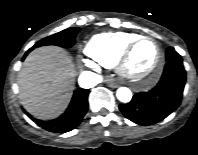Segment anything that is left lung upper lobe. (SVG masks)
Instances as JSON below:
<instances>
[{
    "mask_svg": "<svg viewBox=\"0 0 198 155\" xmlns=\"http://www.w3.org/2000/svg\"><path fill=\"white\" fill-rule=\"evenodd\" d=\"M166 60L168 62L182 61L181 56L174 50V48L169 47L166 52Z\"/></svg>",
    "mask_w": 198,
    "mask_h": 155,
    "instance_id": "5c2ea615",
    "label": "left lung upper lobe"
}]
</instances>
